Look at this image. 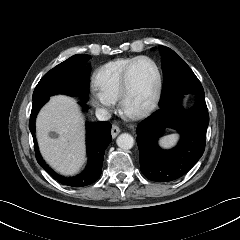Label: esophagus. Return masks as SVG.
<instances>
[{
	"label": "esophagus",
	"instance_id": "obj_1",
	"mask_svg": "<svg viewBox=\"0 0 240 240\" xmlns=\"http://www.w3.org/2000/svg\"><path fill=\"white\" fill-rule=\"evenodd\" d=\"M120 132H121L120 128L117 125L113 124L111 128L112 137L115 138Z\"/></svg>",
	"mask_w": 240,
	"mask_h": 240
}]
</instances>
